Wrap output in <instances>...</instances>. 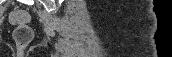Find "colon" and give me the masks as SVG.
Returning a JSON list of instances; mask_svg holds the SVG:
<instances>
[{
	"instance_id": "obj_1",
	"label": "colon",
	"mask_w": 172,
	"mask_h": 57,
	"mask_svg": "<svg viewBox=\"0 0 172 57\" xmlns=\"http://www.w3.org/2000/svg\"><path fill=\"white\" fill-rule=\"evenodd\" d=\"M11 24L15 25L14 40L19 49L26 48L32 41L34 35L32 29L27 26L29 15L25 11L17 10L10 13Z\"/></svg>"
}]
</instances>
